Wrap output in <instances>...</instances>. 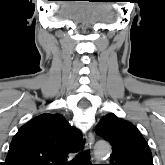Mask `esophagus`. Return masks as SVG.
Masks as SVG:
<instances>
[{
    "instance_id": "esophagus-1",
    "label": "esophagus",
    "mask_w": 165,
    "mask_h": 165,
    "mask_svg": "<svg viewBox=\"0 0 165 165\" xmlns=\"http://www.w3.org/2000/svg\"><path fill=\"white\" fill-rule=\"evenodd\" d=\"M94 141H95V138H94L93 133L89 132L88 137H87V141H86V144H85V148L87 150H91L93 148Z\"/></svg>"
}]
</instances>
